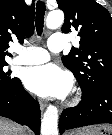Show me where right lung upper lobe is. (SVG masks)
Returning <instances> with one entry per match:
<instances>
[{
    "label": "right lung upper lobe",
    "mask_w": 112,
    "mask_h": 135,
    "mask_svg": "<svg viewBox=\"0 0 112 135\" xmlns=\"http://www.w3.org/2000/svg\"><path fill=\"white\" fill-rule=\"evenodd\" d=\"M34 32V4L27 6L24 0H0V61L11 56L7 48L17 37L22 42Z\"/></svg>",
    "instance_id": "1"
}]
</instances>
